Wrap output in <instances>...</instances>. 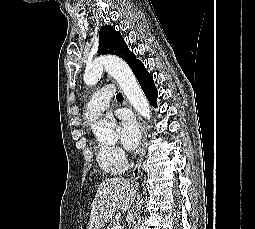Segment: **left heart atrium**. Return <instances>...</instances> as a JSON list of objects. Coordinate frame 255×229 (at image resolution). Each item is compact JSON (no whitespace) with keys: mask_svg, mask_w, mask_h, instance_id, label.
<instances>
[{"mask_svg":"<svg viewBox=\"0 0 255 229\" xmlns=\"http://www.w3.org/2000/svg\"><path fill=\"white\" fill-rule=\"evenodd\" d=\"M119 123L117 131L120 137V142L127 150H134L140 140L139 128L131 117L126 114H119Z\"/></svg>","mask_w":255,"mask_h":229,"instance_id":"39dd6f15","label":"left heart atrium"}]
</instances>
